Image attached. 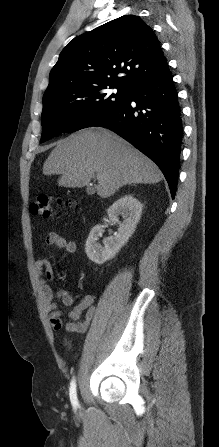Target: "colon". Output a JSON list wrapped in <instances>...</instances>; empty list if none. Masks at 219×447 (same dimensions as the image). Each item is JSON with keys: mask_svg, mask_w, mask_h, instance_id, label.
I'll return each mask as SVG.
<instances>
[{"mask_svg": "<svg viewBox=\"0 0 219 447\" xmlns=\"http://www.w3.org/2000/svg\"><path fill=\"white\" fill-rule=\"evenodd\" d=\"M53 203L54 200L51 197L45 195L38 196L31 204V212L35 216L50 218L56 213L55 209L53 208ZM63 205L65 206V209H68L76 206V202H63Z\"/></svg>", "mask_w": 219, "mask_h": 447, "instance_id": "colon-1", "label": "colon"}]
</instances>
